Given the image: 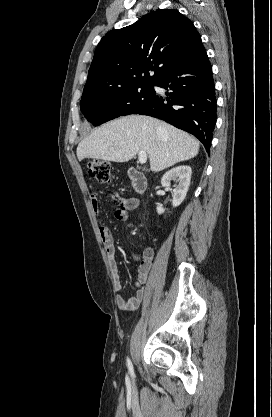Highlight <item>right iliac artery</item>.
Instances as JSON below:
<instances>
[{
	"mask_svg": "<svg viewBox=\"0 0 272 417\" xmlns=\"http://www.w3.org/2000/svg\"><path fill=\"white\" fill-rule=\"evenodd\" d=\"M127 361H128V365H129V366H131V362H130V360H129V359H127Z\"/></svg>",
	"mask_w": 272,
	"mask_h": 417,
	"instance_id": "82829eb1",
	"label": "right iliac artery"
}]
</instances>
